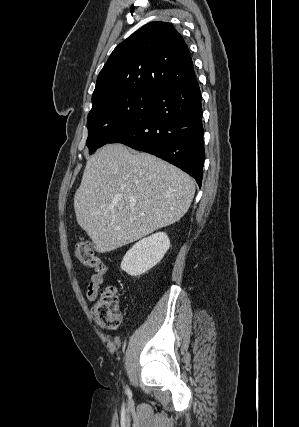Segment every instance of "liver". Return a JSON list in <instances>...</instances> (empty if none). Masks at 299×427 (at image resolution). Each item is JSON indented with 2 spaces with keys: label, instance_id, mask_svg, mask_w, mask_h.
<instances>
[{
  "label": "liver",
  "instance_id": "obj_1",
  "mask_svg": "<svg viewBox=\"0 0 299 427\" xmlns=\"http://www.w3.org/2000/svg\"><path fill=\"white\" fill-rule=\"evenodd\" d=\"M194 194L193 179L179 168L107 144L87 161L74 210L94 250L106 253L179 221Z\"/></svg>",
  "mask_w": 299,
  "mask_h": 427
}]
</instances>
